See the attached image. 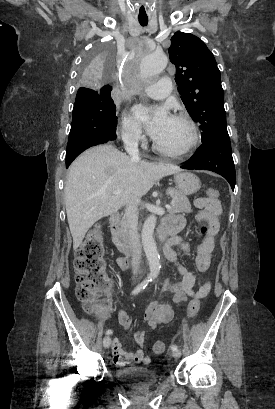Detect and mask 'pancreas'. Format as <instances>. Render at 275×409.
Instances as JSON below:
<instances>
[{
  "mask_svg": "<svg viewBox=\"0 0 275 409\" xmlns=\"http://www.w3.org/2000/svg\"><path fill=\"white\" fill-rule=\"evenodd\" d=\"M166 194L172 196L171 209H168V213H192L189 198H187L186 194H183L177 188H172V186L167 188ZM121 227L126 231L125 221H121Z\"/></svg>",
  "mask_w": 275,
  "mask_h": 409,
  "instance_id": "obj_1",
  "label": "pancreas"
}]
</instances>
